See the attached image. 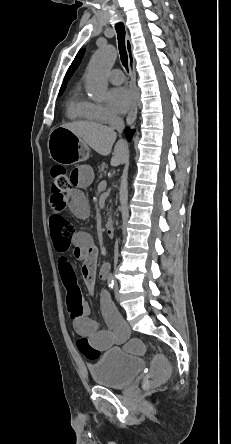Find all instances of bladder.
I'll list each match as a JSON object with an SVG mask.
<instances>
[{
	"label": "bladder",
	"instance_id": "1",
	"mask_svg": "<svg viewBox=\"0 0 231 444\" xmlns=\"http://www.w3.org/2000/svg\"><path fill=\"white\" fill-rule=\"evenodd\" d=\"M143 368L142 359L128 354L124 348L110 349L88 365L94 381L108 388L128 385Z\"/></svg>",
	"mask_w": 231,
	"mask_h": 444
}]
</instances>
